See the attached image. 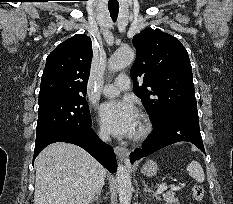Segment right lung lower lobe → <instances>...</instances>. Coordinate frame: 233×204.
Wrapping results in <instances>:
<instances>
[{
    "label": "right lung lower lobe",
    "mask_w": 233,
    "mask_h": 204,
    "mask_svg": "<svg viewBox=\"0 0 233 204\" xmlns=\"http://www.w3.org/2000/svg\"><path fill=\"white\" fill-rule=\"evenodd\" d=\"M54 142H66L78 145L90 153L110 172L113 173L117 170L113 148L101 141L91 129V126L64 131L35 143L33 161L46 146Z\"/></svg>",
    "instance_id": "obj_1"
}]
</instances>
